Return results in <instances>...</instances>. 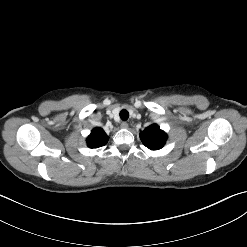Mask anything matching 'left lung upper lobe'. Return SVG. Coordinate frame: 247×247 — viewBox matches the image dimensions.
Masks as SVG:
<instances>
[{"label": "left lung upper lobe", "mask_w": 247, "mask_h": 247, "mask_svg": "<svg viewBox=\"0 0 247 247\" xmlns=\"http://www.w3.org/2000/svg\"><path fill=\"white\" fill-rule=\"evenodd\" d=\"M140 138L150 150H159L165 145L167 135L158 125L152 124L140 133Z\"/></svg>", "instance_id": "left-lung-upper-lobe-1"}]
</instances>
